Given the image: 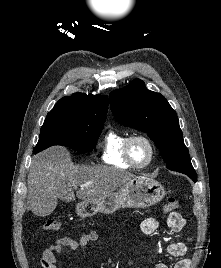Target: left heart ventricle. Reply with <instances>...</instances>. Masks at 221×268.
I'll use <instances>...</instances> for the list:
<instances>
[{"label": "left heart ventricle", "mask_w": 221, "mask_h": 268, "mask_svg": "<svg viewBox=\"0 0 221 268\" xmlns=\"http://www.w3.org/2000/svg\"><path fill=\"white\" fill-rule=\"evenodd\" d=\"M130 152L137 164H143L149 157V149L142 140H135L131 143Z\"/></svg>", "instance_id": "left-heart-ventricle-1"}]
</instances>
